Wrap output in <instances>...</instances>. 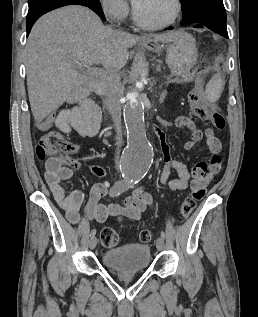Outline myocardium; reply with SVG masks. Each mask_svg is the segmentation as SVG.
Instances as JSON below:
<instances>
[{
    "instance_id": "f54148a6",
    "label": "myocardium",
    "mask_w": 258,
    "mask_h": 317,
    "mask_svg": "<svg viewBox=\"0 0 258 317\" xmlns=\"http://www.w3.org/2000/svg\"><path fill=\"white\" fill-rule=\"evenodd\" d=\"M151 1H153V0H140V1L136 2V4L134 5V21H135V23L139 27H141V28H143V29H145L147 31H150V32L164 30V29L170 27L177 20V18L179 16V13H180V2L178 0H170L175 6V12H174L173 17L169 21H167L166 23H164V24H162L160 26H157V27L147 28L140 21L139 11H140L141 6L144 3L151 2Z\"/></svg>"
}]
</instances>
